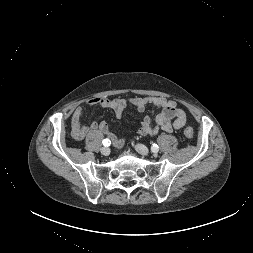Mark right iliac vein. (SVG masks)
<instances>
[{"instance_id":"obj_1","label":"right iliac vein","mask_w":253,"mask_h":253,"mask_svg":"<svg viewBox=\"0 0 253 253\" xmlns=\"http://www.w3.org/2000/svg\"><path fill=\"white\" fill-rule=\"evenodd\" d=\"M101 153L104 155V156H108L110 154V149L108 147H102L101 148Z\"/></svg>"}]
</instances>
